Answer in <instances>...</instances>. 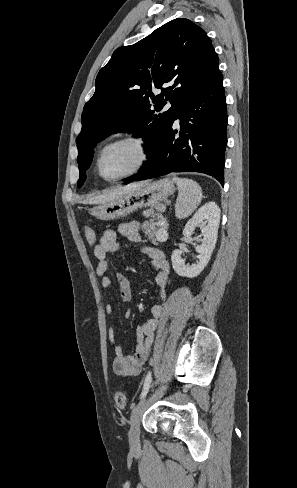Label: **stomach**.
<instances>
[{"instance_id": "0dacf381", "label": "stomach", "mask_w": 297, "mask_h": 488, "mask_svg": "<svg viewBox=\"0 0 297 488\" xmlns=\"http://www.w3.org/2000/svg\"><path fill=\"white\" fill-rule=\"evenodd\" d=\"M173 192L172 180L160 179L135 191L123 193L115 200L98 204L90 209V214L104 221L123 218L138 208L154 207L167 200Z\"/></svg>"}]
</instances>
